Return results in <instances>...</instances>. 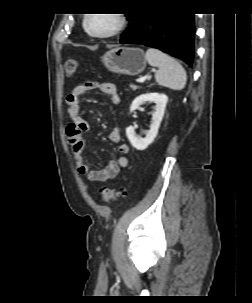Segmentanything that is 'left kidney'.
<instances>
[{
  "instance_id": "5707ae66",
  "label": "left kidney",
  "mask_w": 252,
  "mask_h": 303,
  "mask_svg": "<svg viewBox=\"0 0 252 303\" xmlns=\"http://www.w3.org/2000/svg\"><path fill=\"white\" fill-rule=\"evenodd\" d=\"M167 101L168 97L165 94L159 93L142 94L133 100L130 106V113L136 110L140 105L144 104L145 102H154L156 104L155 111L152 113V122L150 125V129L147 131L145 138L137 136L135 133V128L133 126H129L126 128V135L132 146L135 147L137 150L146 149L156 138L160 123L164 116Z\"/></svg>"
}]
</instances>
